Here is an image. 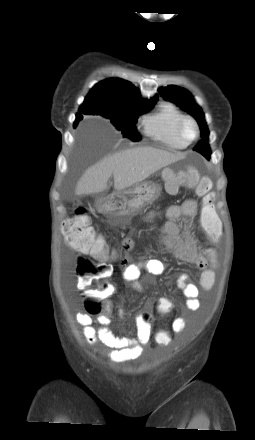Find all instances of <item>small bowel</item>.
Segmentation results:
<instances>
[{"label": "small bowel", "instance_id": "1", "mask_svg": "<svg viewBox=\"0 0 255 440\" xmlns=\"http://www.w3.org/2000/svg\"><path fill=\"white\" fill-rule=\"evenodd\" d=\"M198 214V204L195 201L187 200L181 204L171 205L165 211H154L148 214L147 221L165 217L167 222L156 229L161 243L169 249L176 258L194 264L202 270L199 277L200 288L189 282L187 274H181L176 279V286L181 290L186 298V306L190 311H197L201 304L198 299L200 289L210 291L215 284L214 267L217 266V259L214 249L199 250L196 242L185 232V229L178 223L182 218L193 219ZM216 227V225H215ZM134 246L132 238H126L122 244L120 265L122 278L133 292H140L142 286L139 282L142 270L153 275H160L166 271V266L159 259H149L142 264L129 263L127 252ZM106 263L105 259H101ZM80 287L81 284H79ZM168 298V297H161ZM113 304L108 301L105 303V313L97 318V322L102 325L99 329L94 327V319L87 313L79 312L76 314V321L83 327V335L90 345L101 342L111 351L109 357L113 361L132 359L139 356L144 347L151 339V311L153 304L149 303L136 316L137 336L127 337L113 334L106 326L111 322V311ZM119 315L123 316L122 309ZM185 328V322L181 318L174 320L172 330L180 333ZM157 343V342H156Z\"/></svg>", "mask_w": 255, "mask_h": 440}]
</instances>
